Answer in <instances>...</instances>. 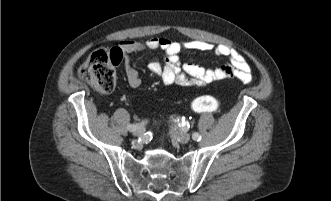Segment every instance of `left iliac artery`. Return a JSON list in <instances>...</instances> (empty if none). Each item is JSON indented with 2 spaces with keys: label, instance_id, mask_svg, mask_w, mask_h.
<instances>
[{
  "label": "left iliac artery",
  "instance_id": "44dca946",
  "mask_svg": "<svg viewBox=\"0 0 331 201\" xmlns=\"http://www.w3.org/2000/svg\"><path fill=\"white\" fill-rule=\"evenodd\" d=\"M173 121L176 124V126L179 127L182 130H188L189 127H190V124H189L188 120L185 117H174ZM192 138L195 141H200L201 140V136L197 132L193 133Z\"/></svg>",
  "mask_w": 331,
  "mask_h": 201
}]
</instances>
